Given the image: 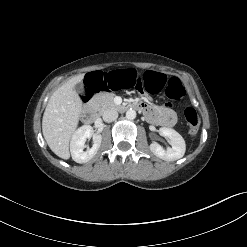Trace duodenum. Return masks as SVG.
I'll list each match as a JSON object with an SVG mask.
<instances>
[{"label":"duodenum","instance_id":"1","mask_svg":"<svg viewBox=\"0 0 247 247\" xmlns=\"http://www.w3.org/2000/svg\"><path fill=\"white\" fill-rule=\"evenodd\" d=\"M131 108L137 110H143V106L140 103H133ZM98 118V111L95 105L89 104L86 106L83 112V120L87 123H92Z\"/></svg>","mask_w":247,"mask_h":247}]
</instances>
